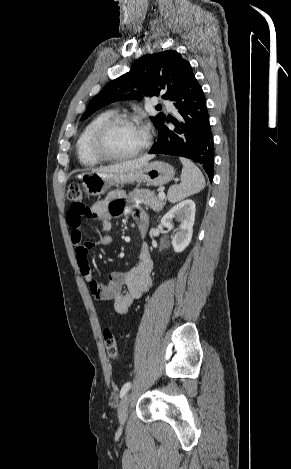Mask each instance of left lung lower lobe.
I'll return each instance as SVG.
<instances>
[{
  "label": "left lung lower lobe",
  "mask_w": 291,
  "mask_h": 469,
  "mask_svg": "<svg viewBox=\"0 0 291 469\" xmlns=\"http://www.w3.org/2000/svg\"><path fill=\"white\" fill-rule=\"evenodd\" d=\"M170 101L173 102L180 114L179 121L171 120L177 128L171 131L163 123L158 129V141L149 153H162L191 159L201 165L209 180L212 181L214 171L213 135L204 93L192 68L188 69L182 84L172 95Z\"/></svg>",
  "instance_id": "0a47b994"
}]
</instances>
